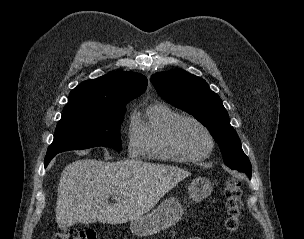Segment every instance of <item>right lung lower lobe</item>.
Returning <instances> with one entry per match:
<instances>
[{
  "mask_svg": "<svg viewBox=\"0 0 304 239\" xmlns=\"http://www.w3.org/2000/svg\"><path fill=\"white\" fill-rule=\"evenodd\" d=\"M57 153L54 154H46L45 156V167L48 165V163L51 161V159L56 155Z\"/></svg>",
  "mask_w": 304,
  "mask_h": 239,
  "instance_id": "98d812e1",
  "label": "right lung lower lobe"
}]
</instances>
